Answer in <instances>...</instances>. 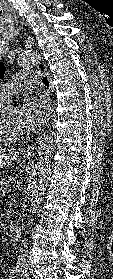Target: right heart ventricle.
Instances as JSON below:
<instances>
[{
	"instance_id": "right-heart-ventricle-1",
	"label": "right heart ventricle",
	"mask_w": 113,
	"mask_h": 279,
	"mask_svg": "<svg viewBox=\"0 0 113 279\" xmlns=\"http://www.w3.org/2000/svg\"><path fill=\"white\" fill-rule=\"evenodd\" d=\"M7 97L0 93V105L6 101ZM3 141L0 140V146L3 145Z\"/></svg>"
}]
</instances>
